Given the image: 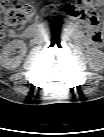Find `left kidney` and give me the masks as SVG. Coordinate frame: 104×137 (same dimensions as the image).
Returning a JSON list of instances; mask_svg holds the SVG:
<instances>
[{"instance_id":"obj_1","label":"left kidney","mask_w":104,"mask_h":137,"mask_svg":"<svg viewBox=\"0 0 104 137\" xmlns=\"http://www.w3.org/2000/svg\"><path fill=\"white\" fill-rule=\"evenodd\" d=\"M87 62L91 69L94 71H100L104 66L103 53L95 48H90L86 52Z\"/></svg>"}]
</instances>
